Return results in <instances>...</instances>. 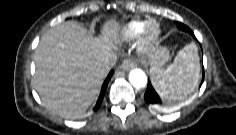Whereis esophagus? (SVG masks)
Here are the masks:
<instances>
[{
	"label": "esophagus",
	"mask_w": 236,
	"mask_h": 135,
	"mask_svg": "<svg viewBox=\"0 0 236 135\" xmlns=\"http://www.w3.org/2000/svg\"><path fill=\"white\" fill-rule=\"evenodd\" d=\"M135 66V63L133 60L131 59H126L123 61L122 65H121V69L123 70H130Z\"/></svg>",
	"instance_id": "obj_1"
}]
</instances>
